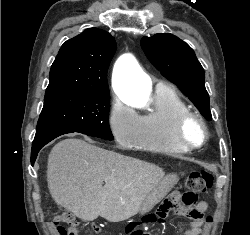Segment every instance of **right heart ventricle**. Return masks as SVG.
Wrapping results in <instances>:
<instances>
[{
    "label": "right heart ventricle",
    "mask_w": 250,
    "mask_h": 235,
    "mask_svg": "<svg viewBox=\"0 0 250 235\" xmlns=\"http://www.w3.org/2000/svg\"><path fill=\"white\" fill-rule=\"evenodd\" d=\"M189 107L171 87L157 86L150 108L141 116L139 138L135 146L141 150L164 155L179 156L187 151L174 138L177 117Z\"/></svg>",
    "instance_id": "right-heart-ventricle-1"
}]
</instances>
